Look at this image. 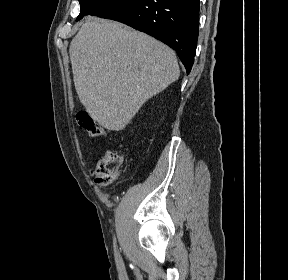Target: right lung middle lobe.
Segmentation results:
<instances>
[{"mask_svg": "<svg viewBox=\"0 0 288 280\" xmlns=\"http://www.w3.org/2000/svg\"><path fill=\"white\" fill-rule=\"evenodd\" d=\"M111 0H79L80 2V14L77 17V20L82 19L85 15H89L97 10L100 6Z\"/></svg>", "mask_w": 288, "mask_h": 280, "instance_id": "obj_1", "label": "right lung middle lobe"}]
</instances>
